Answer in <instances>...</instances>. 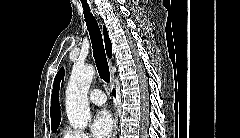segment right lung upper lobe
I'll use <instances>...</instances> for the list:
<instances>
[{
    "mask_svg": "<svg viewBox=\"0 0 240 138\" xmlns=\"http://www.w3.org/2000/svg\"><path fill=\"white\" fill-rule=\"evenodd\" d=\"M103 33H104V40H105V47H106V53L109 58L112 57V44L108 37V32L106 27H103ZM64 76V69L63 67L60 69V71L57 73L54 85H53V91L51 96V125L56 126L59 125L61 120V111H60V105H59V84L61 78Z\"/></svg>",
    "mask_w": 240,
    "mask_h": 138,
    "instance_id": "obj_1",
    "label": "right lung upper lobe"
}]
</instances>
